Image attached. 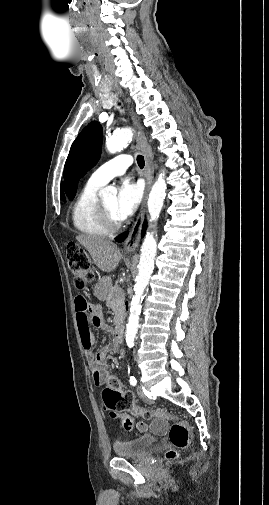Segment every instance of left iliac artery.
<instances>
[{
    "label": "left iliac artery",
    "mask_w": 269,
    "mask_h": 505,
    "mask_svg": "<svg viewBox=\"0 0 269 505\" xmlns=\"http://www.w3.org/2000/svg\"><path fill=\"white\" fill-rule=\"evenodd\" d=\"M129 381L132 386H135L137 384V380L134 376H131Z\"/></svg>",
    "instance_id": "obj_1"
}]
</instances>
